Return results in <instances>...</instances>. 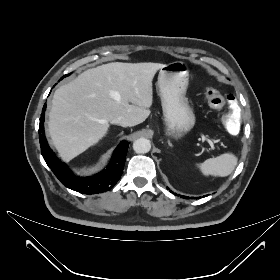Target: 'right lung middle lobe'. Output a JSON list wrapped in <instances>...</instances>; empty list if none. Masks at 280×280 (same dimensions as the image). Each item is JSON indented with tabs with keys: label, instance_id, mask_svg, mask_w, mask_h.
I'll list each match as a JSON object with an SVG mask.
<instances>
[{
	"label": "right lung middle lobe",
	"instance_id": "dd1d6c3e",
	"mask_svg": "<svg viewBox=\"0 0 280 280\" xmlns=\"http://www.w3.org/2000/svg\"><path fill=\"white\" fill-rule=\"evenodd\" d=\"M69 75H70V74H67V75H65L64 77L69 76ZM61 79H62V78H61ZM61 79H60V80H61Z\"/></svg>",
	"mask_w": 280,
	"mask_h": 280
}]
</instances>
